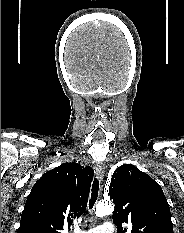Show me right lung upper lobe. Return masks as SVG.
Segmentation results:
<instances>
[{
	"label": "right lung upper lobe",
	"mask_w": 184,
	"mask_h": 233,
	"mask_svg": "<svg viewBox=\"0 0 184 233\" xmlns=\"http://www.w3.org/2000/svg\"><path fill=\"white\" fill-rule=\"evenodd\" d=\"M94 171L64 163L34 184L21 215L17 233H63L87 207Z\"/></svg>",
	"instance_id": "obj_1"
}]
</instances>
